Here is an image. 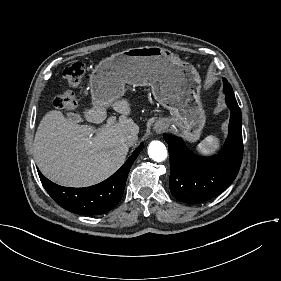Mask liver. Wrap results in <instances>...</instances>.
Returning <instances> with one entry per match:
<instances>
[{"instance_id": "6515ba94", "label": "liver", "mask_w": 281, "mask_h": 281, "mask_svg": "<svg viewBox=\"0 0 281 281\" xmlns=\"http://www.w3.org/2000/svg\"><path fill=\"white\" fill-rule=\"evenodd\" d=\"M105 106L121 116L119 122L98 130L66 119L61 111H50L42 118L34 138V155L45 176L65 186H92L121 167L130 145L122 144L120 136L137 135L139 126L127 118L131 108L126 99ZM105 106L85 110V119L102 123L107 117Z\"/></svg>"}]
</instances>
